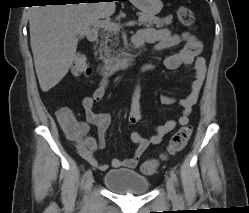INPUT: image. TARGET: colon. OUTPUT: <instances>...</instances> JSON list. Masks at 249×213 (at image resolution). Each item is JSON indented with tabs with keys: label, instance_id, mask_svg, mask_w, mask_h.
Wrapping results in <instances>:
<instances>
[{
	"label": "colon",
	"instance_id": "obj_1",
	"mask_svg": "<svg viewBox=\"0 0 249 213\" xmlns=\"http://www.w3.org/2000/svg\"><path fill=\"white\" fill-rule=\"evenodd\" d=\"M177 16L182 24L185 26H192L195 22V17L193 12L187 7H179L177 10ZM72 73L74 76H88L91 73L90 65L87 58L83 54H77L74 59ZM192 134V127L190 125H185L180 128L176 133L173 134L169 142L167 153L169 155H174L181 151L187 144L190 136ZM159 166L157 160H146L141 165V171L146 175L154 174Z\"/></svg>",
	"mask_w": 249,
	"mask_h": 213
}]
</instances>
